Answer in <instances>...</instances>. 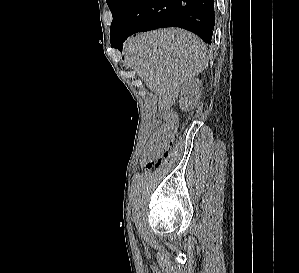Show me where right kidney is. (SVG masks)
I'll list each match as a JSON object with an SVG mask.
<instances>
[{
    "mask_svg": "<svg viewBox=\"0 0 299 273\" xmlns=\"http://www.w3.org/2000/svg\"><path fill=\"white\" fill-rule=\"evenodd\" d=\"M202 82L197 78L188 80L181 89L180 103L182 109L193 107L198 102L201 95Z\"/></svg>",
    "mask_w": 299,
    "mask_h": 273,
    "instance_id": "ca27d5eb",
    "label": "right kidney"
}]
</instances>
